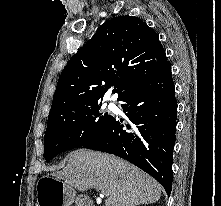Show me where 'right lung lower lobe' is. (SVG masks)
Wrapping results in <instances>:
<instances>
[{
    "label": "right lung lower lobe",
    "instance_id": "obj_1",
    "mask_svg": "<svg viewBox=\"0 0 221 206\" xmlns=\"http://www.w3.org/2000/svg\"><path fill=\"white\" fill-rule=\"evenodd\" d=\"M127 121L113 118L83 147L122 157L154 177L169 195L175 144V86L167 62L121 99Z\"/></svg>",
    "mask_w": 221,
    "mask_h": 206
}]
</instances>
